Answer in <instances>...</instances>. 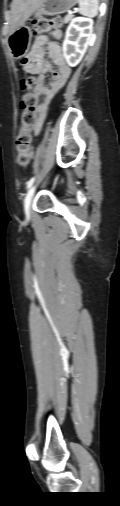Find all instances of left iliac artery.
Returning a JSON list of instances; mask_svg holds the SVG:
<instances>
[{"label":"left iliac artery","mask_w":120,"mask_h":506,"mask_svg":"<svg viewBox=\"0 0 120 506\" xmlns=\"http://www.w3.org/2000/svg\"><path fill=\"white\" fill-rule=\"evenodd\" d=\"M34 180H35V177H32L28 182H27V189L30 188L32 186V184L34 183Z\"/></svg>","instance_id":"1"}]
</instances>
